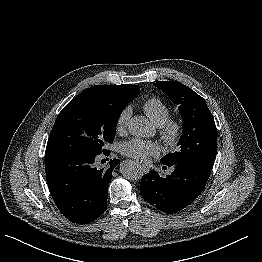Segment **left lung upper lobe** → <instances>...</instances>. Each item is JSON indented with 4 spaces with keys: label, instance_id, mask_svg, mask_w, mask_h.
I'll return each instance as SVG.
<instances>
[{
    "label": "left lung upper lobe",
    "instance_id": "1",
    "mask_svg": "<svg viewBox=\"0 0 262 262\" xmlns=\"http://www.w3.org/2000/svg\"><path fill=\"white\" fill-rule=\"evenodd\" d=\"M154 85L179 105L183 120V132L178 142L180 149L165 155L160 162L167 166L212 168L217 153V129L205 100L177 81H159Z\"/></svg>",
    "mask_w": 262,
    "mask_h": 262
}]
</instances>
